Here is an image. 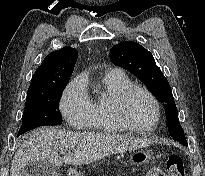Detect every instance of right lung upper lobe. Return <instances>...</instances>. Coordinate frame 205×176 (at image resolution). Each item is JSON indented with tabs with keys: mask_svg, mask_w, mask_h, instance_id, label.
<instances>
[{
	"mask_svg": "<svg viewBox=\"0 0 205 176\" xmlns=\"http://www.w3.org/2000/svg\"><path fill=\"white\" fill-rule=\"evenodd\" d=\"M77 57V50L69 46L50 53L35 71L27 96L46 93L67 84Z\"/></svg>",
	"mask_w": 205,
	"mask_h": 176,
	"instance_id": "right-lung-upper-lobe-1",
	"label": "right lung upper lobe"
}]
</instances>
